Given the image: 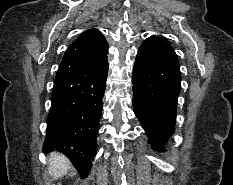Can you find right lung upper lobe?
<instances>
[{
    "instance_id": "obj_1",
    "label": "right lung upper lobe",
    "mask_w": 233,
    "mask_h": 185,
    "mask_svg": "<svg viewBox=\"0 0 233 185\" xmlns=\"http://www.w3.org/2000/svg\"><path fill=\"white\" fill-rule=\"evenodd\" d=\"M108 43L103 34L91 29L82 33L67 49L61 65L99 64L107 59Z\"/></svg>"
}]
</instances>
